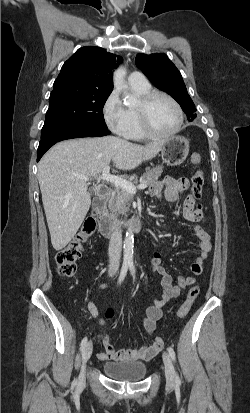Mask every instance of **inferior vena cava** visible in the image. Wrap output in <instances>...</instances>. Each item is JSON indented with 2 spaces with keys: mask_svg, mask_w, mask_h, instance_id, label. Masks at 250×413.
<instances>
[{
  "mask_svg": "<svg viewBox=\"0 0 250 413\" xmlns=\"http://www.w3.org/2000/svg\"><path fill=\"white\" fill-rule=\"evenodd\" d=\"M121 248L122 233L119 227V222H114L108 249L110 267L118 268L121 257Z\"/></svg>",
  "mask_w": 250,
  "mask_h": 413,
  "instance_id": "1",
  "label": "inferior vena cava"
}]
</instances>
